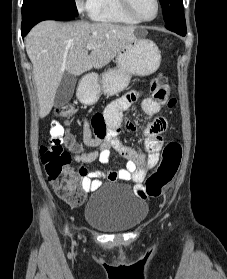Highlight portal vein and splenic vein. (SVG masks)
Returning <instances> with one entry per match:
<instances>
[{"label": "portal vein and splenic vein", "instance_id": "obj_1", "mask_svg": "<svg viewBox=\"0 0 227 279\" xmlns=\"http://www.w3.org/2000/svg\"><path fill=\"white\" fill-rule=\"evenodd\" d=\"M95 48V46L93 45V44H88L87 46H86V50L87 51H90V50H92V49H94Z\"/></svg>", "mask_w": 227, "mask_h": 279}]
</instances>
